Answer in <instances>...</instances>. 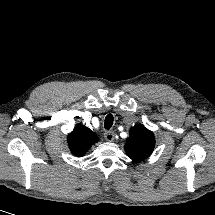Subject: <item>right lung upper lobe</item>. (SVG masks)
<instances>
[{
	"mask_svg": "<svg viewBox=\"0 0 215 215\" xmlns=\"http://www.w3.org/2000/svg\"><path fill=\"white\" fill-rule=\"evenodd\" d=\"M98 141L97 135L82 124H77L68 136V145L76 156H83Z\"/></svg>",
	"mask_w": 215,
	"mask_h": 215,
	"instance_id": "right-lung-upper-lobe-1",
	"label": "right lung upper lobe"
}]
</instances>
